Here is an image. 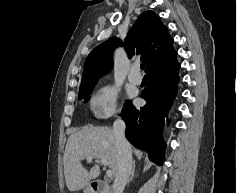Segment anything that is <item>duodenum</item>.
Instances as JSON below:
<instances>
[{"instance_id": "1", "label": "duodenum", "mask_w": 237, "mask_h": 193, "mask_svg": "<svg viewBox=\"0 0 237 193\" xmlns=\"http://www.w3.org/2000/svg\"><path fill=\"white\" fill-rule=\"evenodd\" d=\"M91 193H110L109 185L105 181H94L91 184Z\"/></svg>"}]
</instances>
